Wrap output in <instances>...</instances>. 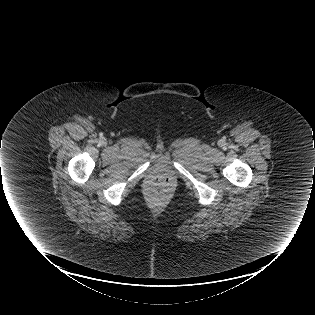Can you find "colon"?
I'll use <instances>...</instances> for the list:
<instances>
[{
    "mask_svg": "<svg viewBox=\"0 0 315 315\" xmlns=\"http://www.w3.org/2000/svg\"><path fill=\"white\" fill-rule=\"evenodd\" d=\"M152 196L156 199H161L164 196V190L161 188H155L152 191Z\"/></svg>",
    "mask_w": 315,
    "mask_h": 315,
    "instance_id": "obj_1",
    "label": "colon"
}]
</instances>
